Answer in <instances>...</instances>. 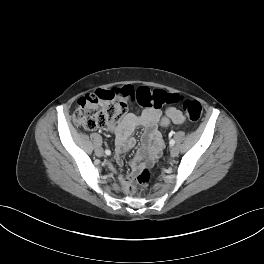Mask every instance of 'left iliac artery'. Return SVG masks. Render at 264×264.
I'll use <instances>...</instances> for the list:
<instances>
[{
	"mask_svg": "<svg viewBox=\"0 0 264 264\" xmlns=\"http://www.w3.org/2000/svg\"><path fill=\"white\" fill-rule=\"evenodd\" d=\"M172 135V134H171ZM169 144L173 146L175 144V141L173 139L170 140Z\"/></svg>",
	"mask_w": 264,
	"mask_h": 264,
	"instance_id": "1",
	"label": "left iliac artery"
}]
</instances>
